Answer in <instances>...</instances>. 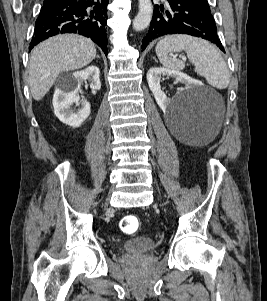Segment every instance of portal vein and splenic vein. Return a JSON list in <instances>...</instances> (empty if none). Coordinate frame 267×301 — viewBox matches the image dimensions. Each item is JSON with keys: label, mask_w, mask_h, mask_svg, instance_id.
Masks as SVG:
<instances>
[{"label": "portal vein and splenic vein", "mask_w": 267, "mask_h": 301, "mask_svg": "<svg viewBox=\"0 0 267 301\" xmlns=\"http://www.w3.org/2000/svg\"><path fill=\"white\" fill-rule=\"evenodd\" d=\"M182 59H183L184 61H186V57H182Z\"/></svg>", "instance_id": "obj_1"}]
</instances>
